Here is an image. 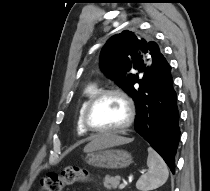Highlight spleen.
Listing matches in <instances>:
<instances>
[{"mask_svg": "<svg viewBox=\"0 0 210 191\" xmlns=\"http://www.w3.org/2000/svg\"><path fill=\"white\" fill-rule=\"evenodd\" d=\"M147 166L149 171L143 174L136 183L140 191L154 190L162 186L168 179L169 172L166 163L152 148H148Z\"/></svg>", "mask_w": 210, "mask_h": 191, "instance_id": "spleen-1", "label": "spleen"}]
</instances>
